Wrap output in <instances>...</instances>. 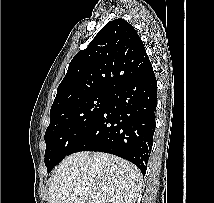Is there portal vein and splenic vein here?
Listing matches in <instances>:
<instances>
[{
	"instance_id": "1",
	"label": "portal vein and splenic vein",
	"mask_w": 214,
	"mask_h": 203,
	"mask_svg": "<svg viewBox=\"0 0 214 203\" xmlns=\"http://www.w3.org/2000/svg\"><path fill=\"white\" fill-rule=\"evenodd\" d=\"M82 192H83L82 189H75V190H74V193H75V194H81Z\"/></svg>"
}]
</instances>
